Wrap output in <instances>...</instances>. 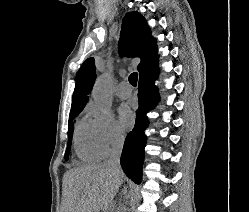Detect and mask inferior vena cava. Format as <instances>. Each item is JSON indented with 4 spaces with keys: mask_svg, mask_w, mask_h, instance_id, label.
<instances>
[{
    "mask_svg": "<svg viewBox=\"0 0 249 212\" xmlns=\"http://www.w3.org/2000/svg\"><path fill=\"white\" fill-rule=\"evenodd\" d=\"M123 144L124 138H120V140H115L110 150L109 160H107L108 166H112V168H117V170H120V158L123 150ZM119 212H125L123 204H119Z\"/></svg>",
    "mask_w": 249,
    "mask_h": 212,
    "instance_id": "obj_1",
    "label": "inferior vena cava"
}]
</instances>
